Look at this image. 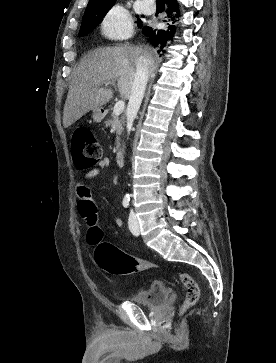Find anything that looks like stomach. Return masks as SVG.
<instances>
[{"label": "stomach", "instance_id": "stomach-1", "mask_svg": "<svg viewBox=\"0 0 276 363\" xmlns=\"http://www.w3.org/2000/svg\"><path fill=\"white\" fill-rule=\"evenodd\" d=\"M106 115V112L104 111V109L102 107L98 108V109H95L93 110V120L94 122H97V123H100L104 117Z\"/></svg>", "mask_w": 276, "mask_h": 363}]
</instances>
